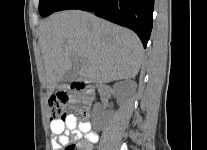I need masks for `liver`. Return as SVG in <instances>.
I'll return each mask as SVG.
<instances>
[{"label": "liver", "instance_id": "6515ba94", "mask_svg": "<svg viewBox=\"0 0 207 150\" xmlns=\"http://www.w3.org/2000/svg\"><path fill=\"white\" fill-rule=\"evenodd\" d=\"M39 42L48 96L78 62L75 75L99 84L134 78L142 64L143 47L134 32L80 10L54 13L42 21Z\"/></svg>", "mask_w": 207, "mask_h": 150}]
</instances>
